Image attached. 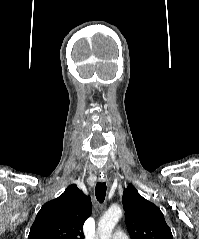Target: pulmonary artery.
<instances>
[{"label": "pulmonary artery", "mask_w": 199, "mask_h": 239, "mask_svg": "<svg viewBox=\"0 0 199 239\" xmlns=\"http://www.w3.org/2000/svg\"><path fill=\"white\" fill-rule=\"evenodd\" d=\"M112 239H128V236L122 231H116L113 234Z\"/></svg>", "instance_id": "obj_1"}]
</instances>
